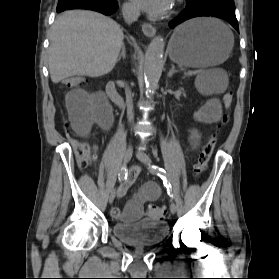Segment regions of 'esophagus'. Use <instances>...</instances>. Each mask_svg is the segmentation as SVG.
I'll list each match as a JSON object with an SVG mask.
<instances>
[{
	"label": "esophagus",
	"mask_w": 279,
	"mask_h": 279,
	"mask_svg": "<svg viewBox=\"0 0 279 279\" xmlns=\"http://www.w3.org/2000/svg\"><path fill=\"white\" fill-rule=\"evenodd\" d=\"M142 31L147 37H153L156 33V29L149 23H144L142 25Z\"/></svg>",
	"instance_id": "esophagus-1"
}]
</instances>
